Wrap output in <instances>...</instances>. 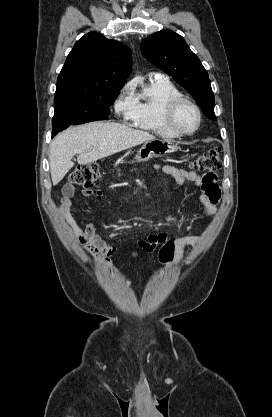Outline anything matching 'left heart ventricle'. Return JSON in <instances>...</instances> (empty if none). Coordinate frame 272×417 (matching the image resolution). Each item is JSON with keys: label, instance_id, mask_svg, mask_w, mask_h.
Instances as JSON below:
<instances>
[{"label": "left heart ventricle", "instance_id": "b2bd125f", "mask_svg": "<svg viewBox=\"0 0 272 417\" xmlns=\"http://www.w3.org/2000/svg\"><path fill=\"white\" fill-rule=\"evenodd\" d=\"M176 125L183 131H191L197 125L196 111L189 105H182L177 111L175 118Z\"/></svg>", "mask_w": 272, "mask_h": 417}]
</instances>
